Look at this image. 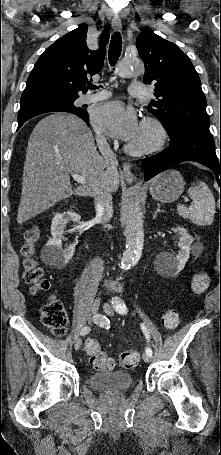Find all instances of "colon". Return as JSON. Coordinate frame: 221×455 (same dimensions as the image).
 Masks as SVG:
<instances>
[{
	"mask_svg": "<svg viewBox=\"0 0 221 455\" xmlns=\"http://www.w3.org/2000/svg\"><path fill=\"white\" fill-rule=\"evenodd\" d=\"M23 244L20 248L23 266V280L31 286L33 292L46 290L49 286L47 279L44 277L43 270L38 265L37 243L40 240V230L37 227H31L23 233ZM210 284L209 274L199 272L192 278L190 290L193 294L199 295L206 291ZM41 322L51 330L56 336L65 334L68 324V317L63 304L51 297L41 307ZM163 326L169 330L176 329L180 323V315L177 309H169L162 316ZM85 352L89 357L90 364L93 368L103 371L112 370L115 366V360L102 351L100 343L94 338H88L85 341ZM140 354L137 351L122 352L117 358V364L124 369L134 368L139 364Z\"/></svg>",
	"mask_w": 221,
	"mask_h": 455,
	"instance_id": "colon-1",
	"label": "colon"
}]
</instances>
